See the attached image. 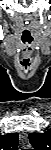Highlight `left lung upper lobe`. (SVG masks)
I'll list each match as a JSON object with an SVG mask.
<instances>
[{
  "mask_svg": "<svg viewBox=\"0 0 51 150\" xmlns=\"http://www.w3.org/2000/svg\"><path fill=\"white\" fill-rule=\"evenodd\" d=\"M29 140L35 150H45L51 145V129L45 133H30Z\"/></svg>",
  "mask_w": 51,
  "mask_h": 150,
  "instance_id": "1",
  "label": "left lung upper lobe"
}]
</instances>
